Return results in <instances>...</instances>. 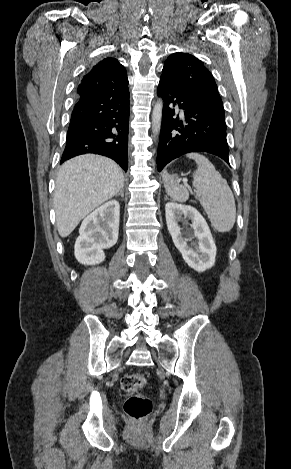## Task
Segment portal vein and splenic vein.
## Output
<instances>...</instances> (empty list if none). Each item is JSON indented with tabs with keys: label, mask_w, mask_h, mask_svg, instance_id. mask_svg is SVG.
Listing matches in <instances>:
<instances>
[{
	"label": "portal vein and splenic vein",
	"mask_w": 291,
	"mask_h": 469,
	"mask_svg": "<svg viewBox=\"0 0 291 469\" xmlns=\"http://www.w3.org/2000/svg\"><path fill=\"white\" fill-rule=\"evenodd\" d=\"M183 182H184L185 184H187V179H184Z\"/></svg>",
	"instance_id": "18ae733b"
}]
</instances>
